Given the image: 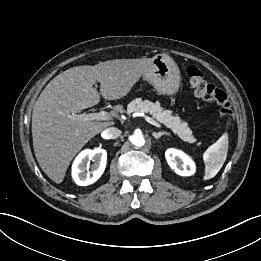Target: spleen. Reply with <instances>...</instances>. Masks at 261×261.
<instances>
[{
	"mask_svg": "<svg viewBox=\"0 0 261 261\" xmlns=\"http://www.w3.org/2000/svg\"><path fill=\"white\" fill-rule=\"evenodd\" d=\"M228 146V133L224 132L221 137L205 151L203 155L205 163L204 180L215 177L220 171L227 157Z\"/></svg>",
	"mask_w": 261,
	"mask_h": 261,
	"instance_id": "1",
	"label": "spleen"
}]
</instances>
